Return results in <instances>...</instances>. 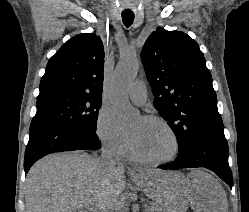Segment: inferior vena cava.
<instances>
[{"label":"inferior vena cava","instance_id":"1","mask_svg":"<svg viewBox=\"0 0 249 212\" xmlns=\"http://www.w3.org/2000/svg\"><path fill=\"white\" fill-rule=\"evenodd\" d=\"M100 162H102V164H107V166H109V164L114 166L115 160H113V154L111 150H108V148H102Z\"/></svg>","mask_w":249,"mask_h":212}]
</instances>
